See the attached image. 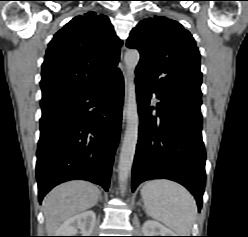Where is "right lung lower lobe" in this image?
<instances>
[{
    "mask_svg": "<svg viewBox=\"0 0 248 237\" xmlns=\"http://www.w3.org/2000/svg\"><path fill=\"white\" fill-rule=\"evenodd\" d=\"M123 97L119 71L86 89L41 100L36 164L40 203L68 180H87L108 191Z\"/></svg>",
    "mask_w": 248,
    "mask_h": 237,
    "instance_id": "98d812e1",
    "label": "right lung lower lobe"
}]
</instances>
